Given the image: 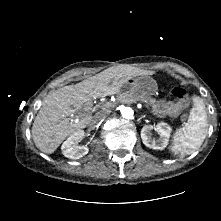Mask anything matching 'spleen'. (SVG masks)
I'll return each mask as SVG.
<instances>
[{
	"mask_svg": "<svg viewBox=\"0 0 221 221\" xmlns=\"http://www.w3.org/2000/svg\"><path fill=\"white\" fill-rule=\"evenodd\" d=\"M207 127L206 106L202 98L194 96L188 121L183 127L175 131L170 151L174 155L191 154L202 145L206 137Z\"/></svg>",
	"mask_w": 221,
	"mask_h": 221,
	"instance_id": "3e777b00",
	"label": "spleen"
}]
</instances>
